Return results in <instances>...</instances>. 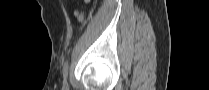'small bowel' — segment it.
<instances>
[{
  "instance_id": "c3829d8e",
  "label": "small bowel",
  "mask_w": 209,
  "mask_h": 90,
  "mask_svg": "<svg viewBox=\"0 0 209 90\" xmlns=\"http://www.w3.org/2000/svg\"><path fill=\"white\" fill-rule=\"evenodd\" d=\"M73 14L78 21L82 22L84 20V16L79 11L75 10Z\"/></svg>"
}]
</instances>
